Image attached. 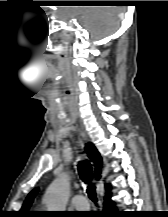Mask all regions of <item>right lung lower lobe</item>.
<instances>
[{
    "label": "right lung lower lobe",
    "instance_id": "98d812e1",
    "mask_svg": "<svg viewBox=\"0 0 168 217\" xmlns=\"http://www.w3.org/2000/svg\"><path fill=\"white\" fill-rule=\"evenodd\" d=\"M110 193L104 198V211H102V217H123L122 214L118 213L116 210L115 204L111 201Z\"/></svg>",
    "mask_w": 168,
    "mask_h": 217
}]
</instances>
